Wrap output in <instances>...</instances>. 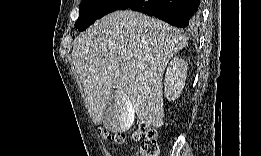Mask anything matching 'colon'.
<instances>
[{
  "mask_svg": "<svg viewBox=\"0 0 261 156\" xmlns=\"http://www.w3.org/2000/svg\"><path fill=\"white\" fill-rule=\"evenodd\" d=\"M144 133L146 135L145 140L141 144V149L139 155L143 156H156L160 153V147L157 140V131L154 128H150L146 125H143L137 132L132 135L133 140H138L140 134ZM104 138L108 140H112L115 143L121 144L124 143L126 137L122 133H110L104 131L103 133Z\"/></svg>",
  "mask_w": 261,
  "mask_h": 156,
  "instance_id": "1",
  "label": "colon"
}]
</instances>
